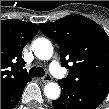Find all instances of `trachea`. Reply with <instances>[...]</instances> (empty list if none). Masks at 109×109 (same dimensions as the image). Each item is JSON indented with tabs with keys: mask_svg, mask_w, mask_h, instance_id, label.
Wrapping results in <instances>:
<instances>
[{
	"mask_svg": "<svg viewBox=\"0 0 109 109\" xmlns=\"http://www.w3.org/2000/svg\"><path fill=\"white\" fill-rule=\"evenodd\" d=\"M31 77H43L45 75L44 69L41 67H32L29 71Z\"/></svg>",
	"mask_w": 109,
	"mask_h": 109,
	"instance_id": "3493384b",
	"label": "trachea"
}]
</instances>
